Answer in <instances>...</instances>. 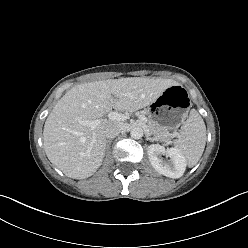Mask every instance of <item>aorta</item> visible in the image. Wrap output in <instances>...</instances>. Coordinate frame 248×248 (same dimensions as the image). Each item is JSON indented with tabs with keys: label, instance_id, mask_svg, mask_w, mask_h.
<instances>
[{
	"label": "aorta",
	"instance_id": "1",
	"mask_svg": "<svg viewBox=\"0 0 248 248\" xmlns=\"http://www.w3.org/2000/svg\"><path fill=\"white\" fill-rule=\"evenodd\" d=\"M130 135L133 139H140L143 136V129L141 127H134L131 129Z\"/></svg>",
	"mask_w": 248,
	"mask_h": 248
}]
</instances>
